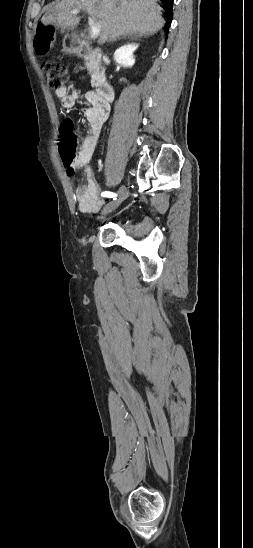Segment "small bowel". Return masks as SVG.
<instances>
[{
	"label": "small bowel",
	"instance_id": "1",
	"mask_svg": "<svg viewBox=\"0 0 253 548\" xmlns=\"http://www.w3.org/2000/svg\"><path fill=\"white\" fill-rule=\"evenodd\" d=\"M55 95L60 100L61 106L65 109L72 108L79 98L78 93L69 92L66 87L55 90ZM86 99L90 104V107L84 113L88 132L77 157L72 165H67V169L71 171L73 167L83 168L86 183L76 189L77 206L83 213L95 214L103 206L104 200L100 197V187L95 179L94 169L89 163L96 148L103 124L109 116L110 104L95 92H88Z\"/></svg>",
	"mask_w": 253,
	"mask_h": 548
}]
</instances>
